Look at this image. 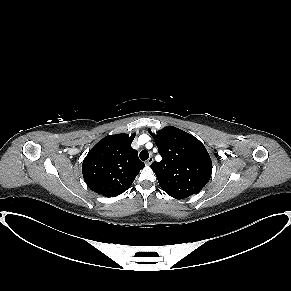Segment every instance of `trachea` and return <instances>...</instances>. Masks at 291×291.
Instances as JSON below:
<instances>
[{
	"instance_id": "3493384b",
	"label": "trachea",
	"mask_w": 291,
	"mask_h": 291,
	"mask_svg": "<svg viewBox=\"0 0 291 291\" xmlns=\"http://www.w3.org/2000/svg\"><path fill=\"white\" fill-rule=\"evenodd\" d=\"M141 160L145 161L149 158V153L146 150H142L139 154Z\"/></svg>"
}]
</instances>
